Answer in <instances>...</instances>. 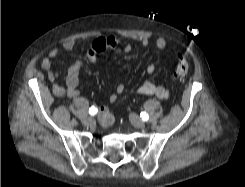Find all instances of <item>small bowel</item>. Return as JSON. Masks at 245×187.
I'll return each mask as SVG.
<instances>
[{
    "label": "small bowel",
    "instance_id": "c3829d8e",
    "mask_svg": "<svg viewBox=\"0 0 245 187\" xmlns=\"http://www.w3.org/2000/svg\"><path fill=\"white\" fill-rule=\"evenodd\" d=\"M141 45L147 47L149 45V40L146 37H143L141 40ZM155 46L157 49L162 50L167 46V41L165 38L160 37L156 40ZM75 47V42L73 40H68L64 42L63 49L65 51H72ZM118 48V42L114 37H100L95 39L87 48L85 59L91 63L96 62L99 55L104 52H110ZM124 50L129 52L131 46L126 44ZM59 54L57 48H52L48 55L43 58L41 61V67L47 72L49 81L52 83V92L57 97L69 96L77 97L79 95L78 84L79 76L84 66V60H77L73 63L67 72L66 77V87L58 83L60 74L53 68V59L56 58ZM157 71V66L155 64H150L147 67V73L153 75ZM125 91V86L123 84L117 85L116 94L110 96V102H115L118 98V95L123 94ZM139 94L143 95H153L159 99L166 100L170 97V91L161 85L154 83L151 79H145L137 89ZM101 122L105 127H109L114 122V117L110 112L108 106H102L100 108Z\"/></svg>",
    "mask_w": 245,
    "mask_h": 187
}]
</instances>
